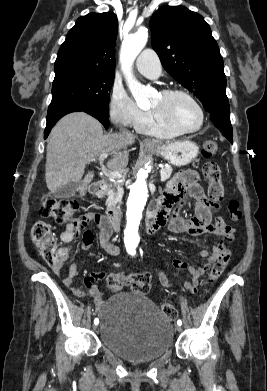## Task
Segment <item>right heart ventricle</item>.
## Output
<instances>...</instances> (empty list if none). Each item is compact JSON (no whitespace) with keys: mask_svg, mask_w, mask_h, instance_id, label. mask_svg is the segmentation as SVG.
<instances>
[{"mask_svg":"<svg viewBox=\"0 0 267 391\" xmlns=\"http://www.w3.org/2000/svg\"><path fill=\"white\" fill-rule=\"evenodd\" d=\"M137 130L143 134L157 138H173L179 135L178 132L158 123L152 112H148L146 120L137 128Z\"/></svg>","mask_w":267,"mask_h":391,"instance_id":"obj_1","label":"right heart ventricle"}]
</instances>
